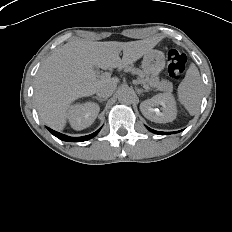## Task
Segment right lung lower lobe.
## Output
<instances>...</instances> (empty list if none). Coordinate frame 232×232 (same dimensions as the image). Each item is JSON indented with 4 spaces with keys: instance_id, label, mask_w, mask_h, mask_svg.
<instances>
[{
    "instance_id": "right-lung-lower-lobe-1",
    "label": "right lung lower lobe",
    "mask_w": 232,
    "mask_h": 232,
    "mask_svg": "<svg viewBox=\"0 0 232 232\" xmlns=\"http://www.w3.org/2000/svg\"><path fill=\"white\" fill-rule=\"evenodd\" d=\"M48 130L54 135L56 136L57 138L63 140V141H69V142H81V141H87L91 138H93L94 136H96L98 134V132L100 131V129H98L96 132L90 134V135H87V136H83V137H69V136H66L64 134H61L59 132H56L50 128H48Z\"/></svg>"
}]
</instances>
